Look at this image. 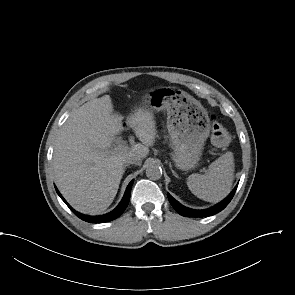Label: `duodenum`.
I'll return each instance as SVG.
<instances>
[{"label": "duodenum", "instance_id": "410a0bca", "mask_svg": "<svg viewBox=\"0 0 295 295\" xmlns=\"http://www.w3.org/2000/svg\"><path fill=\"white\" fill-rule=\"evenodd\" d=\"M125 125H126V124L123 122L122 126L125 127Z\"/></svg>", "mask_w": 295, "mask_h": 295}]
</instances>
